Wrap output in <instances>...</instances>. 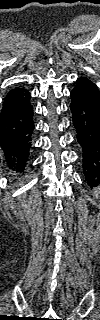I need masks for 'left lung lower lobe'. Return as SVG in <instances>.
I'll return each instance as SVG.
<instances>
[{"mask_svg": "<svg viewBox=\"0 0 100 320\" xmlns=\"http://www.w3.org/2000/svg\"><path fill=\"white\" fill-rule=\"evenodd\" d=\"M70 96L85 179L89 185H97L100 181V91L91 80L80 77Z\"/></svg>", "mask_w": 100, "mask_h": 320, "instance_id": "0a47b994", "label": "left lung lower lobe"}]
</instances>
